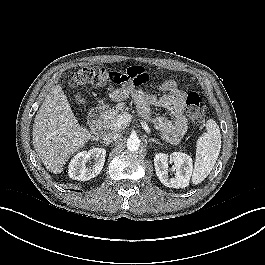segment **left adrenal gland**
Wrapping results in <instances>:
<instances>
[{
    "label": "left adrenal gland",
    "instance_id": "left-adrenal-gland-1",
    "mask_svg": "<svg viewBox=\"0 0 265 265\" xmlns=\"http://www.w3.org/2000/svg\"><path fill=\"white\" fill-rule=\"evenodd\" d=\"M148 142H153V143H156V144H160V145H163L161 142L157 141L156 139H149Z\"/></svg>",
    "mask_w": 265,
    "mask_h": 265
}]
</instances>
